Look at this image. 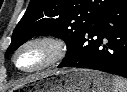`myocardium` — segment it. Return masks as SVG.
I'll list each match as a JSON object with an SVG mask.
<instances>
[{
	"mask_svg": "<svg viewBox=\"0 0 127 92\" xmlns=\"http://www.w3.org/2000/svg\"><path fill=\"white\" fill-rule=\"evenodd\" d=\"M33 45H41L47 48L49 52V56L47 60L44 63L30 69L21 68L18 65V61H17L19 54L27 47H30ZM67 52H68L67 42L60 36H57L54 34L37 35L31 38H28L27 40H25L18 46V48L16 49L13 55V63L15 67L22 72L34 73V72L47 69L57 64L66 56Z\"/></svg>",
	"mask_w": 127,
	"mask_h": 92,
	"instance_id": "myocardium-1",
	"label": "myocardium"
}]
</instances>
